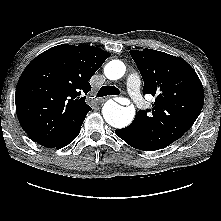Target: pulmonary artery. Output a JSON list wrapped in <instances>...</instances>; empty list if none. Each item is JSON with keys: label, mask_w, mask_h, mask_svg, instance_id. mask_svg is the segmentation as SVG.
<instances>
[{"label": "pulmonary artery", "mask_w": 221, "mask_h": 221, "mask_svg": "<svg viewBox=\"0 0 221 221\" xmlns=\"http://www.w3.org/2000/svg\"><path fill=\"white\" fill-rule=\"evenodd\" d=\"M127 88L132 100L142 109L147 107L140 94V78L136 73L127 78Z\"/></svg>", "instance_id": "pulmonary-artery-1"}]
</instances>
